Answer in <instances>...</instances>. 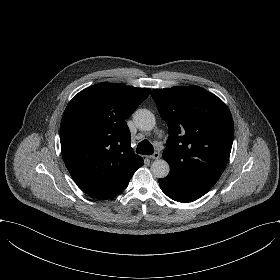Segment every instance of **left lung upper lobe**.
<instances>
[{"label": "left lung upper lobe", "mask_w": 280, "mask_h": 280, "mask_svg": "<svg viewBox=\"0 0 280 280\" xmlns=\"http://www.w3.org/2000/svg\"><path fill=\"white\" fill-rule=\"evenodd\" d=\"M151 96L168 125L163 159L180 183L215 184L231 152L234 125L224 102L199 86L154 89Z\"/></svg>", "instance_id": "1"}]
</instances>
